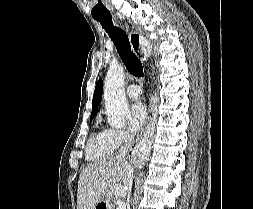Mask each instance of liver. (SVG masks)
Listing matches in <instances>:
<instances>
[{
    "label": "liver",
    "mask_w": 253,
    "mask_h": 209,
    "mask_svg": "<svg viewBox=\"0 0 253 209\" xmlns=\"http://www.w3.org/2000/svg\"><path fill=\"white\" fill-rule=\"evenodd\" d=\"M127 165L129 164L116 157L105 158L88 165L79 176L77 209H94L109 190L113 195L121 197L129 194ZM116 187L121 188L118 194L114 191Z\"/></svg>",
    "instance_id": "1"
}]
</instances>
